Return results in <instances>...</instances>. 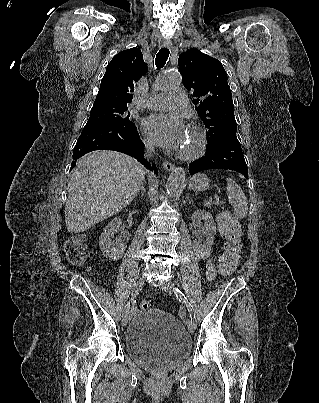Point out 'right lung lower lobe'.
<instances>
[{
	"mask_svg": "<svg viewBox=\"0 0 319 403\" xmlns=\"http://www.w3.org/2000/svg\"><path fill=\"white\" fill-rule=\"evenodd\" d=\"M107 149L126 153L136 158L141 164L157 174V167L150 165L144 159V144L141 141L137 128H128L118 124H94L86 125L82 130L74 147L73 159L77 160L84 154ZM75 162H72V167Z\"/></svg>",
	"mask_w": 319,
	"mask_h": 403,
	"instance_id": "1",
	"label": "right lung lower lobe"
}]
</instances>
